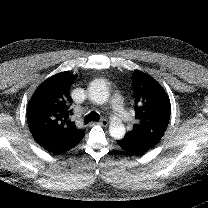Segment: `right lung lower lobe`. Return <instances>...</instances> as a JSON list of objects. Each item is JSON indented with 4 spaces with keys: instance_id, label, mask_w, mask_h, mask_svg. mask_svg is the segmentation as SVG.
Returning a JSON list of instances; mask_svg holds the SVG:
<instances>
[{
    "instance_id": "98d812e1",
    "label": "right lung lower lobe",
    "mask_w": 208,
    "mask_h": 208,
    "mask_svg": "<svg viewBox=\"0 0 208 208\" xmlns=\"http://www.w3.org/2000/svg\"><path fill=\"white\" fill-rule=\"evenodd\" d=\"M82 139H83V138H82ZM82 139L76 141L75 143H73V144L70 145V146H67V147H65V148H62V149H60V150H58V151H55V152H53V153H55V154H63V153H65V152L69 151L70 149H72L73 147H75Z\"/></svg>"
}]
</instances>
